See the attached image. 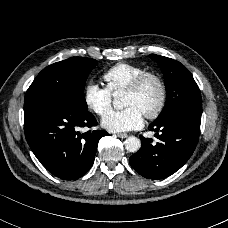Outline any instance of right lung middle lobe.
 <instances>
[{
  "instance_id": "1",
  "label": "right lung middle lobe",
  "mask_w": 228,
  "mask_h": 228,
  "mask_svg": "<svg viewBox=\"0 0 228 228\" xmlns=\"http://www.w3.org/2000/svg\"><path fill=\"white\" fill-rule=\"evenodd\" d=\"M97 61L91 58L71 57L43 69L25 95V102L39 98L58 99L87 111L84 98L86 79Z\"/></svg>"
}]
</instances>
